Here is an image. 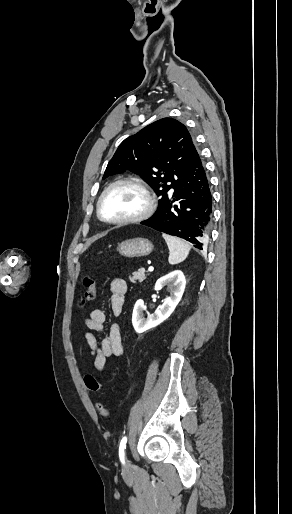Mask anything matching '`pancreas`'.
<instances>
[{"mask_svg":"<svg viewBox=\"0 0 292 514\" xmlns=\"http://www.w3.org/2000/svg\"><path fill=\"white\" fill-rule=\"evenodd\" d=\"M146 274L144 268H140L138 272H133L132 276H130V282H133V284H136V280L138 282H143L145 280Z\"/></svg>","mask_w":292,"mask_h":514,"instance_id":"cf45deb5","label":"pancreas"}]
</instances>
